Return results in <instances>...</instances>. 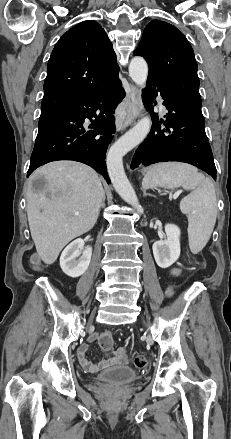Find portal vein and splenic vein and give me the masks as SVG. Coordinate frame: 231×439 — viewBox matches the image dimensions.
I'll return each instance as SVG.
<instances>
[{"instance_id":"obj_1","label":"portal vein and splenic vein","mask_w":231,"mask_h":439,"mask_svg":"<svg viewBox=\"0 0 231 439\" xmlns=\"http://www.w3.org/2000/svg\"><path fill=\"white\" fill-rule=\"evenodd\" d=\"M180 193H181L180 191L177 192V194H180Z\"/></svg>"}]
</instances>
